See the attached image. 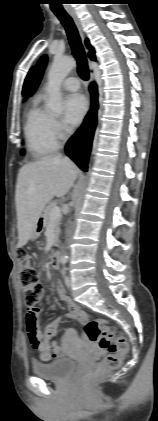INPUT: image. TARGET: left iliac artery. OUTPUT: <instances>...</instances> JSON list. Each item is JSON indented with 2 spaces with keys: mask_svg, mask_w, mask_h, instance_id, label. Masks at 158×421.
I'll return each instance as SVG.
<instances>
[{
  "mask_svg": "<svg viewBox=\"0 0 158 421\" xmlns=\"http://www.w3.org/2000/svg\"><path fill=\"white\" fill-rule=\"evenodd\" d=\"M65 270H66V268H63V270H62V274H65Z\"/></svg>",
  "mask_w": 158,
  "mask_h": 421,
  "instance_id": "44dca946",
  "label": "left iliac artery"
}]
</instances>
